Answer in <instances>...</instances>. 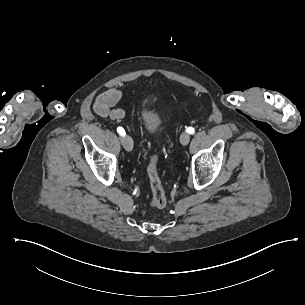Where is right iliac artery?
<instances>
[{"mask_svg": "<svg viewBox=\"0 0 305 305\" xmlns=\"http://www.w3.org/2000/svg\"><path fill=\"white\" fill-rule=\"evenodd\" d=\"M117 132L121 135L124 136L125 135V130L122 127H118L117 128Z\"/></svg>", "mask_w": 305, "mask_h": 305, "instance_id": "82829eb1", "label": "right iliac artery"}]
</instances>
